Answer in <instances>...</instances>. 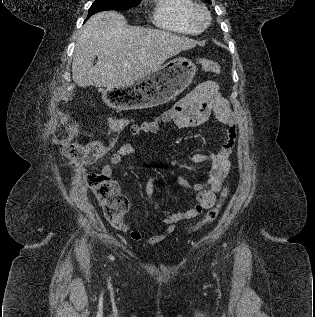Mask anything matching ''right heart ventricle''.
<instances>
[{"mask_svg":"<svg viewBox=\"0 0 315 317\" xmlns=\"http://www.w3.org/2000/svg\"><path fill=\"white\" fill-rule=\"evenodd\" d=\"M193 0H154L152 22L155 26L180 34L196 35L200 32L190 21Z\"/></svg>","mask_w":315,"mask_h":317,"instance_id":"obj_1","label":"right heart ventricle"}]
</instances>
